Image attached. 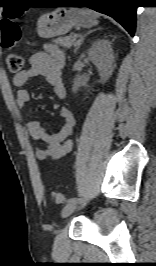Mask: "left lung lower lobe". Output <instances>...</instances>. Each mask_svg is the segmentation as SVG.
Returning a JSON list of instances; mask_svg holds the SVG:
<instances>
[{"label":"left lung lower lobe","instance_id":"obj_1","mask_svg":"<svg viewBox=\"0 0 156 266\" xmlns=\"http://www.w3.org/2000/svg\"><path fill=\"white\" fill-rule=\"evenodd\" d=\"M56 3H73L106 14L119 22L131 36L135 32L136 0H68Z\"/></svg>","mask_w":156,"mask_h":266}]
</instances>
